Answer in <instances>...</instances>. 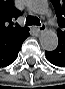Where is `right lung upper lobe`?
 <instances>
[{"mask_svg":"<svg viewBox=\"0 0 65 89\" xmlns=\"http://www.w3.org/2000/svg\"><path fill=\"white\" fill-rule=\"evenodd\" d=\"M20 11L14 7L13 0H0V43L19 39L29 33L28 27H20L14 21Z\"/></svg>","mask_w":65,"mask_h":89,"instance_id":"1","label":"right lung upper lobe"}]
</instances>
